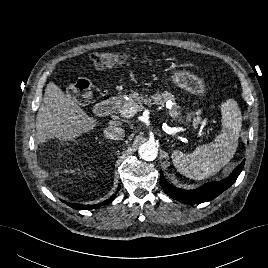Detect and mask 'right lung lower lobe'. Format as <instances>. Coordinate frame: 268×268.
I'll use <instances>...</instances> for the list:
<instances>
[{"mask_svg":"<svg viewBox=\"0 0 268 268\" xmlns=\"http://www.w3.org/2000/svg\"><path fill=\"white\" fill-rule=\"evenodd\" d=\"M119 188H120V186L118 187V189ZM114 198H115V195H113L112 197H110L105 202L100 203V204H95V205H81V204H76V203H68V202H65V201H63V202L66 203L68 206L74 208V209H77V210H87V209H96V208H99L102 205H106L109 202L113 201Z\"/></svg>","mask_w":268,"mask_h":268,"instance_id":"obj_1","label":"right lung lower lobe"}]
</instances>
